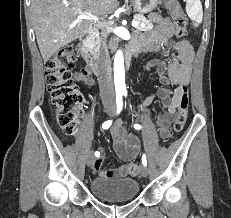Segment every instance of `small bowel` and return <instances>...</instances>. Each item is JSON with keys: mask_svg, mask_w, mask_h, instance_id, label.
<instances>
[{"mask_svg": "<svg viewBox=\"0 0 231 218\" xmlns=\"http://www.w3.org/2000/svg\"><path fill=\"white\" fill-rule=\"evenodd\" d=\"M151 18L157 23L154 30L142 35L132 46L137 52L161 51L169 46L173 57L169 61L164 59H153L147 69L155 68L160 74V81L171 87L160 88L156 93L145 98L137 109L147 107L156 98L160 99L166 107V112L157 117V126L159 135L166 139L170 135V124L173 115L179 107L180 94L183 88L187 87L190 80L192 63L194 60V51L187 40L172 42L173 25L168 18H162L158 14H152ZM179 57V61L175 58ZM75 79L87 86L94 83L92 72L89 69H83L75 75ZM136 108H132L131 111ZM113 147L118 157L124 161L135 158L139 151L138 143L130 138L125 132L120 122L116 123L112 129ZM99 156L92 164L93 171H99L104 158V151L101 149ZM127 174V166L123 165L118 168H106L100 170L102 176H119Z\"/></svg>", "mask_w": 231, "mask_h": 218, "instance_id": "1", "label": "small bowel"}]
</instances>
